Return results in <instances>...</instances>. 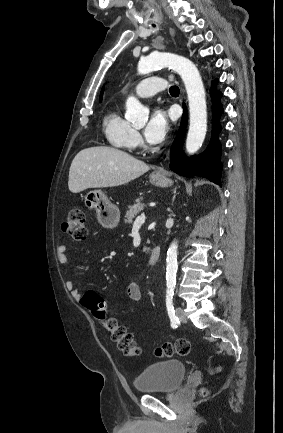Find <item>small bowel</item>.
I'll use <instances>...</instances> for the list:
<instances>
[{
	"label": "small bowel",
	"instance_id": "1",
	"mask_svg": "<svg viewBox=\"0 0 283 433\" xmlns=\"http://www.w3.org/2000/svg\"><path fill=\"white\" fill-rule=\"evenodd\" d=\"M57 259L61 266H66L68 263L67 246L60 245L56 249ZM66 287L70 291L72 297L76 301L82 300V294L76 288L74 282L70 279L66 280ZM127 296L133 303H140L142 300V294L140 287L137 283L132 282L127 287Z\"/></svg>",
	"mask_w": 283,
	"mask_h": 433
}]
</instances>
